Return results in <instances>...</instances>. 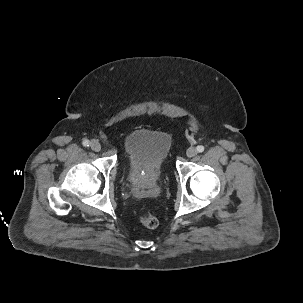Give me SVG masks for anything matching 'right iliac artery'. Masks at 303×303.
<instances>
[{
  "label": "right iliac artery",
  "instance_id": "obj_1",
  "mask_svg": "<svg viewBox=\"0 0 303 303\" xmlns=\"http://www.w3.org/2000/svg\"><path fill=\"white\" fill-rule=\"evenodd\" d=\"M83 145H84L85 147H89L90 141H89V140H84V141H83Z\"/></svg>",
  "mask_w": 303,
  "mask_h": 303
}]
</instances>
